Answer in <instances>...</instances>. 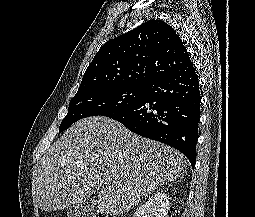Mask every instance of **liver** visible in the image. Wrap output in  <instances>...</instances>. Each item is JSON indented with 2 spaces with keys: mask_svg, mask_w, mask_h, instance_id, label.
<instances>
[{
  "mask_svg": "<svg viewBox=\"0 0 255 217\" xmlns=\"http://www.w3.org/2000/svg\"><path fill=\"white\" fill-rule=\"evenodd\" d=\"M186 159L174 148L134 134L101 116L66 130L40 159L32 185L37 207L63 210L98 193L101 214L129 211L158 186L179 178Z\"/></svg>",
  "mask_w": 255,
  "mask_h": 217,
  "instance_id": "6515ba94",
  "label": "liver"
}]
</instances>
